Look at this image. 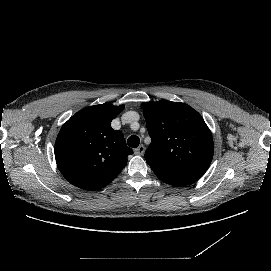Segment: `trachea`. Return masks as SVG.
Returning a JSON list of instances; mask_svg holds the SVG:
<instances>
[{
	"mask_svg": "<svg viewBox=\"0 0 271 271\" xmlns=\"http://www.w3.org/2000/svg\"><path fill=\"white\" fill-rule=\"evenodd\" d=\"M139 143H140V139L138 136L136 135H132L128 138L127 140V144L130 146V147H133V148H136L139 146Z\"/></svg>",
	"mask_w": 271,
	"mask_h": 271,
	"instance_id": "obj_1",
	"label": "trachea"
}]
</instances>
